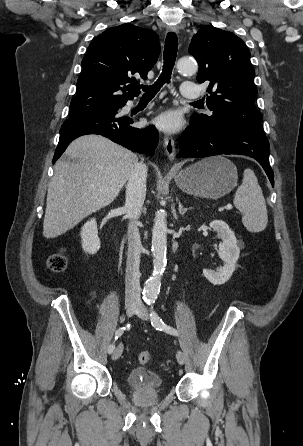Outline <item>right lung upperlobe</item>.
Segmentation results:
<instances>
[{
    "instance_id": "1",
    "label": "right lung upper lobe",
    "mask_w": 303,
    "mask_h": 446,
    "mask_svg": "<svg viewBox=\"0 0 303 446\" xmlns=\"http://www.w3.org/2000/svg\"><path fill=\"white\" fill-rule=\"evenodd\" d=\"M159 53V38L152 30L126 23L104 31L82 60L77 95L71 103L84 105L86 111L126 104L140 92L132 75L146 79Z\"/></svg>"
}]
</instances>
